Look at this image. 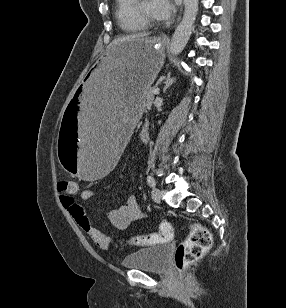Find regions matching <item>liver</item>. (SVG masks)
Instances as JSON below:
<instances>
[{
    "instance_id": "liver-1",
    "label": "liver",
    "mask_w": 286,
    "mask_h": 308,
    "mask_svg": "<svg viewBox=\"0 0 286 308\" xmlns=\"http://www.w3.org/2000/svg\"><path fill=\"white\" fill-rule=\"evenodd\" d=\"M148 35H149V33H137V34H131V35H127V36H124V37L114 39L110 43V45L107 47V52L110 51L113 47H115L118 44H121V43H124V42H127V41H132V40H135V39L144 38Z\"/></svg>"
}]
</instances>
